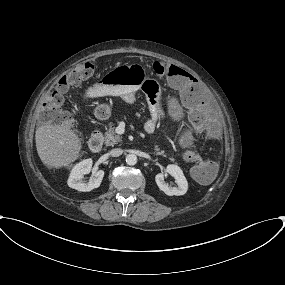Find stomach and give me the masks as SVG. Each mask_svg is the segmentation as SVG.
Instances as JSON below:
<instances>
[{
	"label": "stomach",
	"mask_w": 285,
	"mask_h": 285,
	"mask_svg": "<svg viewBox=\"0 0 285 285\" xmlns=\"http://www.w3.org/2000/svg\"><path fill=\"white\" fill-rule=\"evenodd\" d=\"M94 115L99 120H107L111 116V109L106 104L98 105L94 110Z\"/></svg>",
	"instance_id": "stomach-1"
}]
</instances>
